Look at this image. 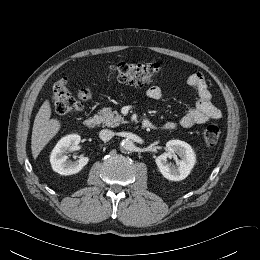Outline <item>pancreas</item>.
Here are the masks:
<instances>
[{"mask_svg": "<svg viewBox=\"0 0 260 260\" xmlns=\"http://www.w3.org/2000/svg\"><path fill=\"white\" fill-rule=\"evenodd\" d=\"M99 122L107 127H116L120 123H125L124 118L117 112L112 111L111 108H103L98 113Z\"/></svg>", "mask_w": 260, "mask_h": 260, "instance_id": "obj_1", "label": "pancreas"}]
</instances>
